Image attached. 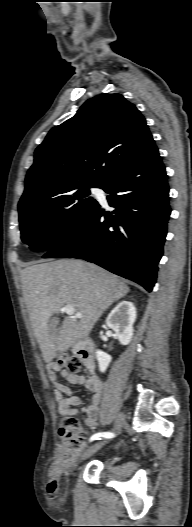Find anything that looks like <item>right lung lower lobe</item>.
<instances>
[{
  "instance_id": "98d812e1",
  "label": "right lung lower lobe",
  "mask_w": 192,
  "mask_h": 527,
  "mask_svg": "<svg viewBox=\"0 0 192 527\" xmlns=\"http://www.w3.org/2000/svg\"><path fill=\"white\" fill-rule=\"evenodd\" d=\"M112 214L97 203L86 221L44 258H82L151 291L167 233L169 187L154 140L101 185Z\"/></svg>"
}]
</instances>
